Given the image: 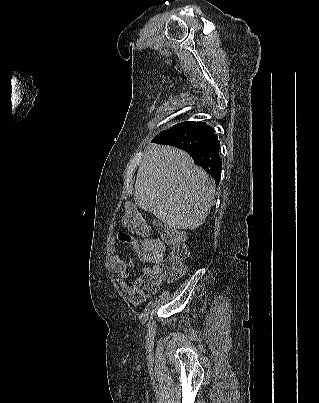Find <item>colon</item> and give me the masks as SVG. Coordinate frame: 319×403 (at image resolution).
Wrapping results in <instances>:
<instances>
[{"instance_id":"obj_1","label":"colon","mask_w":319,"mask_h":403,"mask_svg":"<svg viewBox=\"0 0 319 403\" xmlns=\"http://www.w3.org/2000/svg\"><path fill=\"white\" fill-rule=\"evenodd\" d=\"M129 209L124 217L123 222L126 227L136 233L143 234V237L137 238V243L134 252H141L148 260L154 263L153 268L147 270L141 277L138 278L136 286L139 291L144 292V297L155 293L162 282L173 281L186 272L185 261L189 256L188 249L185 245L184 234L177 229L162 226L160 228L162 240L172 246V254L164 257L163 245L160 241H152L145 236L144 220L136 209L132 201L127 202ZM132 291V288H131Z\"/></svg>"}]
</instances>
